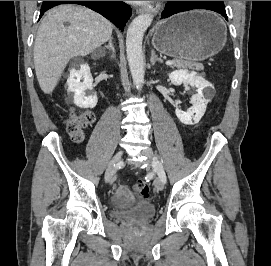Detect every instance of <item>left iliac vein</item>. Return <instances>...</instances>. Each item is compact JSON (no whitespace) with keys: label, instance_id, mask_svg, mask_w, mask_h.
Returning a JSON list of instances; mask_svg holds the SVG:
<instances>
[{"label":"left iliac vein","instance_id":"left-iliac-vein-1","mask_svg":"<svg viewBox=\"0 0 271 266\" xmlns=\"http://www.w3.org/2000/svg\"><path fill=\"white\" fill-rule=\"evenodd\" d=\"M143 155L147 157V162H151L153 164V162L158 161L157 157L155 156L153 150L151 148H146L143 150ZM155 187L158 190H163L164 189V182L161 180L160 177L156 178L154 181Z\"/></svg>","mask_w":271,"mask_h":266}]
</instances>
